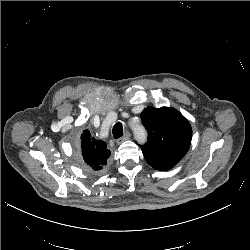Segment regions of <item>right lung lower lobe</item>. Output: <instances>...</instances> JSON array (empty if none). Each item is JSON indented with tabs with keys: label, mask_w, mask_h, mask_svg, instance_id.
Here are the masks:
<instances>
[{
	"label": "right lung lower lobe",
	"mask_w": 250,
	"mask_h": 250,
	"mask_svg": "<svg viewBox=\"0 0 250 250\" xmlns=\"http://www.w3.org/2000/svg\"><path fill=\"white\" fill-rule=\"evenodd\" d=\"M87 169L90 170V171H92V172H96V173H98L100 171V170H93V169H90L88 167H87Z\"/></svg>",
	"instance_id": "obj_1"
}]
</instances>
